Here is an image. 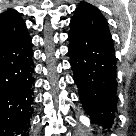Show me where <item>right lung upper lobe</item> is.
I'll return each mask as SVG.
<instances>
[{
	"label": "right lung upper lobe",
	"mask_w": 136,
	"mask_h": 136,
	"mask_svg": "<svg viewBox=\"0 0 136 136\" xmlns=\"http://www.w3.org/2000/svg\"><path fill=\"white\" fill-rule=\"evenodd\" d=\"M20 14L9 9L0 14V44L20 39L28 34Z\"/></svg>",
	"instance_id": "1"
}]
</instances>
